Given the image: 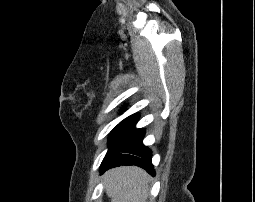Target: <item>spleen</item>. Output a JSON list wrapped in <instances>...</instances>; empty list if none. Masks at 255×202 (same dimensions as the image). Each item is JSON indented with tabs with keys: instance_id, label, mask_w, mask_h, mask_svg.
Listing matches in <instances>:
<instances>
[{
	"instance_id": "3e777b00",
	"label": "spleen",
	"mask_w": 255,
	"mask_h": 202,
	"mask_svg": "<svg viewBox=\"0 0 255 202\" xmlns=\"http://www.w3.org/2000/svg\"><path fill=\"white\" fill-rule=\"evenodd\" d=\"M105 189L111 202H146L148 175L137 167H122L106 175Z\"/></svg>"
}]
</instances>
